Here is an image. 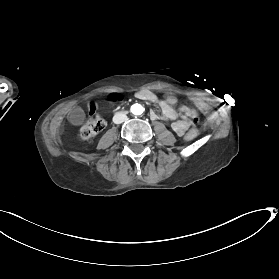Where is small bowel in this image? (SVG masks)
Here are the masks:
<instances>
[{
    "instance_id": "1",
    "label": "small bowel",
    "mask_w": 279,
    "mask_h": 279,
    "mask_svg": "<svg viewBox=\"0 0 279 279\" xmlns=\"http://www.w3.org/2000/svg\"><path fill=\"white\" fill-rule=\"evenodd\" d=\"M138 97L159 105L161 108V117L171 122L172 129L177 135L183 136L186 133L188 123L177 119V113L174 109L177 99L174 95L167 94L164 99H161L151 91H143L138 93ZM150 115L152 119H158L160 117L154 111Z\"/></svg>"
}]
</instances>
